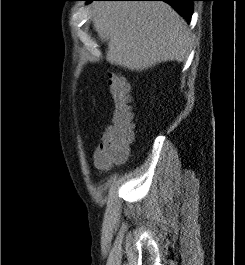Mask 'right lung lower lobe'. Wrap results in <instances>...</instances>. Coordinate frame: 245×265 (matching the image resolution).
<instances>
[{
	"mask_svg": "<svg viewBox=\"0 0 245 265\" xmlns=\"http://www.w3.org/2000/svg\"><path fill=\"white\" fill-rule=\"evenodd\" d=\"M87 3H90L94 0H85ZM125 1H164L170 4L180 15H182L187 22L191 21V16L193 12L192 1L195 0H125Z\"/></svg>",
	"mask_w": 245,
	"mask_h": 265,
	"instance_id": "obj_1",
	"label": "right lung lower lobe"
}]
</instances>
